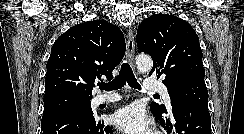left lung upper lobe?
<instances>
[{
	"label": "left lung upper lobe",
	"instance_id": "obj_1",
	"mask_svg": "<svg viewBox=\"0 0 244 134\" xmlns=\"http://www.w3.org/2000/svg\"><path fill=\"white\" fill-rule=\"evenodd\" d=\"M137 46L153 59L149 75H165L171 105H193L208 110V91L204 82L202 51L192 26L179 17L154 14L137 29ZM150 108L165 113L164 105Z\"/></svg>",
	"mask_w": 244,
	"mask_h": 134
}]
</instances>
